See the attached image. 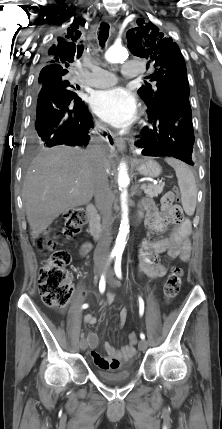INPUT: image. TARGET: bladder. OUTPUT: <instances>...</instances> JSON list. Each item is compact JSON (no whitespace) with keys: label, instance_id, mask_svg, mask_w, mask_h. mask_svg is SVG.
<instances>
[{"label":"bladder","instance_id":"obj_1","mask_svg":"<svg viewBox=\"0 0 222 429\" xmlns=\"http://www.w3.org/2000/svg\"><path fill=\"white\" fill-rule=\"evenodd\" d=\"M96 377L107 383H122L131 379L132 370L125 369L118 372H106L104 370H97Z\"/></svg>","mask_w":222,"mask_h":429}]
</instances>
